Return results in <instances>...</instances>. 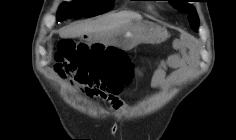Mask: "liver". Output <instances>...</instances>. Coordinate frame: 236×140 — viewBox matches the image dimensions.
Masks as SVG:
<instances>
[{"label":"liver","mask_w":236,"mask_h":140,"mask_svg":"<svg viewBox=\"0 0 236 140\" xmlns=\"http://www.w3.org/2000/svg\"><path fill=\"white\" fill-rule=\"evenodd\" d=\"M137 13L119 12L102 16L96 20L84 21L62 28L59 35L62 38H76L92 35L96 40H104L127 26L132 20H140Z\"/></svg>","instance_id":"1"}]
</instances>
